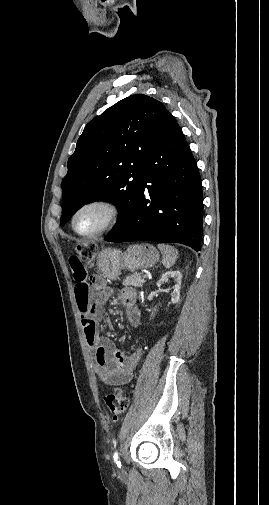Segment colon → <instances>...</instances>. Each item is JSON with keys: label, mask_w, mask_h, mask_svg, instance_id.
Returning a JSON list of instances; mask_svg holds the SVG:
<instances>
[{"label": "colon", "mask_w": 269, "mask_h": 505, "mask_svg": "<svg viewBox=\"0 0 269 505\" xmlns=\"http://www.w3.org/2000/svg\"><path fill=\"white\" fill-rule=\"evenodd\" d=\"M96 254V246L93 244H81L77 247V255L72 256L71 259H80L82 261V268H89ZM73 271V270H72ZM74 272V271H73ZM87 289V287H85ZM106 406L114 420L119 419L126 411L129 399L126 393L121 389H115L109 393L105 398Z\"/></svg>", "instance_id": "1"}]
</instances>
